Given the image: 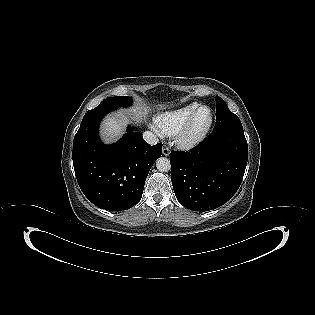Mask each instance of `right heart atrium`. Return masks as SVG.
<instances>
[{"instance_id": "d8ad5b80", "label": "right heart atrium", "mask_w": 315, "mask_h": 315, "mask_svg": "<svg viewBox=\"0 0 315 315\" xmlns=\"http://www.w3.org/2000/svg\"><path fill=\"white\" fill-rule=\"evenodd\" d=\"M152 129L157 132L158 134H161V131L158 129L156 124L151 125Z\"/></svg>"}]
</instances>
